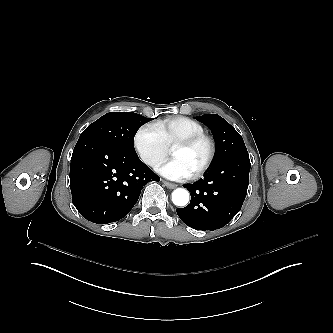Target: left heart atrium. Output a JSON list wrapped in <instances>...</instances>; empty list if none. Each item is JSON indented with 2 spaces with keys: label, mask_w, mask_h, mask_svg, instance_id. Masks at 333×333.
I'll return each instance as SVG.
<instances>
[{
  "label": "left heart atrium",
  "mask_w": 333,
  "mask_h": 333,
  "mask_svg": "<svg viewBox=\"0 0 333 333\" xmlns=\"http://www.w3.org/2000/svg\"><path fill=\"white\" fill-rule=\"evenodd\" d=\"M158 171L164 177L176 181L188 180L193 175L190 169L176 159H169L158 169Z\"/></svg>",
  "instance_id": "left-heart-atrium-1"
}]
</instances>
